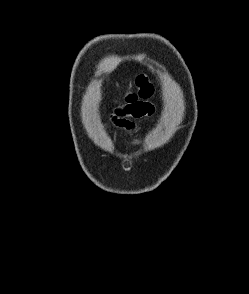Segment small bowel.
Returning a JSON list of instances; mask_svg holds the SVG:
<instances>
[{"instance_id":"1","label":"small bowel","mask_w":249,"mask_h":294,"mask_svg":"<svg viewBox=\"0 0 249 294\" xmlns=\"http://www.w3.org/2000/svg\"><path fill=\"white\" fill-rule=\"evenodd\" d=\"M155 106L149 102H133L117 107L109 116V125L128 133H135L138 125L135 119L151 116Z\"/></svg>"}]
</instances>
